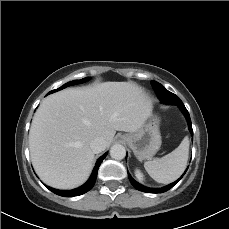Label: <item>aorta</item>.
Listing matches in <instances>:
<instances>
[{"mask_svg": "<svg viewBox=\"0 0 229 229\" xmlns=\"http://www.w3.org/2000/svg\"><path fill=\"white\" fill-rule=\"evenodd\" d=\"M126 150L121 144H114L110 149V156L115 160H121L125 157Z\"/></svg>", "mask_w": 229, "mask_h": 229, "instance_id": "1", "label": "aorta"}]
</instances>
